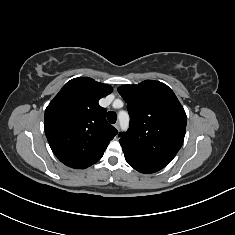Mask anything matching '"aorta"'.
<instances>
[{"mask_svg": "<svg viewBox=\"0 0 235 235\" xmlns=\"http://www.w3.org/2000/svg\"><path fill=\"white\" fill-rule=\"evenodd\" d=\"M118 119L120 121L121 128L127 130L129 125V115L125 111H120L118 114Z\"/></svg>", "mask_w": 235, "mask_h": 235, "instance_id": "1", "label": "aorta"}]
</instances>
